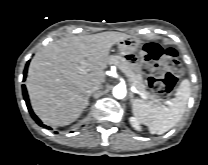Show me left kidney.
Here are the masks:
<instances>
[{"mask_svg":"<svg viewBox=\"0 0 208 165\" xmlns=\"http://www.w3.org/2000/svg\"><path fill=\"white\" fill-rule=\"evenodd\" d=\"M129 121H130L131 126L134 129H136L138 131H142V127L140 126L139 121L136 118L130 117Z\"/></svg>","mask_w":208,"mask_h":165,"instance_id":"left-kidney-1","label":"left kidney"}]
</instances>
